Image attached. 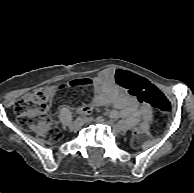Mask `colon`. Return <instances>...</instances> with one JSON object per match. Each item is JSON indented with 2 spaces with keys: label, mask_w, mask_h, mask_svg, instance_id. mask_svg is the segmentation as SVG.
Segmentation results:
<instances>
[{
  "label": "colon",
  "mask_w": 194,
  "mask_h": 193,
  "mask_svg": "<svg viewBox=\"0 0 194 193\" xmlns=\"http://www.w3.org/2000/svg\"><path fill=\"white\" fill-rule=\"evenodd\" d=\"M116 79L120 85L137 97L142 106L151 105L161 114L170 111V104L165 96L147 82H143L124 71L117 72ZM89 85V79H78L67 84L43 87L25 95L14 106L19 126L24 130L35 131L38 137L47 143L58 142L62 134L48 115L49 102L66 87L84 90ZM144 137H146V133H138V138Z\"/></svg>",
  "instance_id": "obj_1"
}]
</instances>
